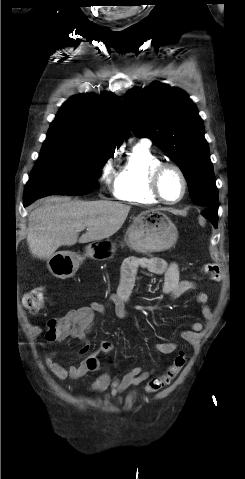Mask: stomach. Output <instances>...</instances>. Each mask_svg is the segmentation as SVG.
<instances>
[{"label": "stomach", "instance_id": "0dacf381", "mask_svg": "<svg viewBox=\"0 0 245 479\" xmlns=\"http://www.w3.org/2000/svg\"><path fill=\"white\" fill-rule=\"evenodd\" d=\"M178 231L172 221L158 211H145L136 216L126 233V244L140 253L159 252L174 246ZM116 245L111 240L95 241L81 256L75 252L59 251L47 260L52 275L66 279L72 277L85 257L105 261L114 257Z\"/></svg>", "mask_w": 245, "mask_h": 479}]
</instances>
